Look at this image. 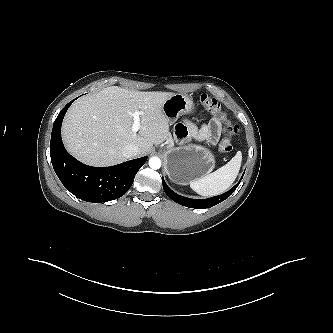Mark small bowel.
I'll list each match as a JSON object with an SVG mask.
<instances>
[{
  "label": "small bowel",
  "mask_w": 333,
  "mask_h": 333,
  "mask_svg": "<svg viewBox=\"0 0 333 333\" xmlns=\"http://www.w3.org/2000/svg\"><path fill=\"white\" fill-rule=\"evenodd\" d=\"M186 129L189 134L199 140L215 142L222 131V124L219 118L213 119L208 125L203 126L200 130L189 121L186 122Z\"/></svg>",
  "instance_id": "1"
}]
</instances>
